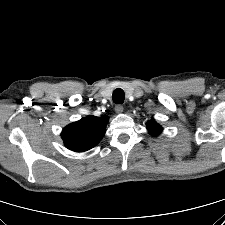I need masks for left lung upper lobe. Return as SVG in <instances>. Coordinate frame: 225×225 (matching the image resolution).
Wrapping results in <instances>:
<instances>
[{
    "label": "left lung upper lobe",
    "instance_id": "1",
    "mask_svg": "<svg viewBox=\"0 0 225 225\" xmlns=\"http://www.w3.org/2000/svg\"><path fill=\"white\" fill-rule=\"evenodd\" d=\"M148 130H149V133L152 134L153 136H157L160 134V132L162 131V128L155 123L154 120H150L148 122Z\"/></svg>",
    "mask_w": 225,
    "mask_h": 225
}]
</instances>
